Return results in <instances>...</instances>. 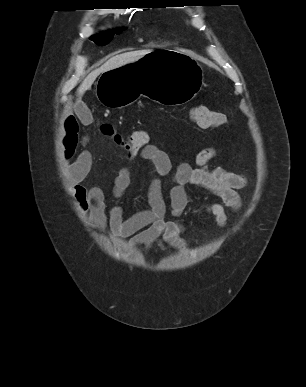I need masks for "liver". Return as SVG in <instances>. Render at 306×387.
<instances>
[{
  "instance_id": "obj_1",
  "label": "liver",
  "mask_w": 306,
  "mask_h": 387,
  "mask_svg": "<svg viewBox=\"0 0 306 387\" xmlns=\"http://www.w3.org/2000/svg\"><path fill=\"white\" fill-rule=\"evenodd\" d=\"M152 50H140V51H132L126 52L119 55H115L111 57L108 61H106L100 68L92 71L81 83V85L77 89V95L79 98L83 96V94L89 90L100 73H104L126 64H130L138 61L143 56L149 54Z\"/></svg>"
}]
</instances>
